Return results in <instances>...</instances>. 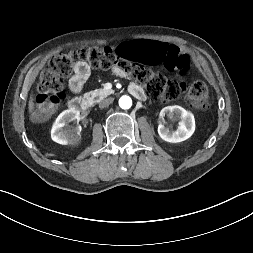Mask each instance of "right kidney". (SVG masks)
Returning <instances> with one entry per match:
<instances>
[{"instance_id": "obj_1", "label": "right kidney", "mask_w": 253, "mask_h": 253, "mask_svg": "<svg viewBox=\"0 0 253 253\" xmlns=\"http://www.w3.org/2000/svg\"><path fill=\"white\" fill-rule=\"evenodd\" d=\"M80 112L74 108L63 111L53 123L51 129V138L56 143L67 145L76 144L81 138V127H68L67 122L78 118Z\"/></svg>"}]
</instances>
